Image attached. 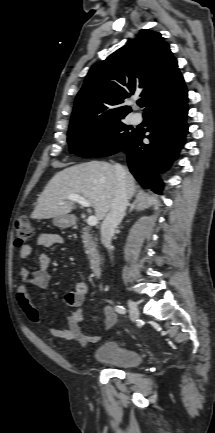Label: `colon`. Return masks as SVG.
Masks as SVG:
<instances>
[{
  "label": "colon",
  "instance_id": "obj_1",
  "mask_svg": "<svg viewBox=\"0 0 215 433\" xmlns=\"http://www.w3.org/2000/svg\"><path fill=\"white\" fill-rule=\"evenodd\" d=\"M14 229L16 236L15 244L18 247L29 241L34 234L32 221L26 215H20L16 218Z\"/></svg>",
  "mask_w": 215,
  "mask_h": 433
}]
</instances>
